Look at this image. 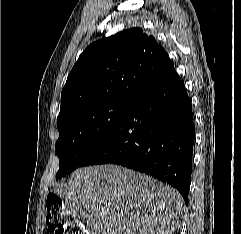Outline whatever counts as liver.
Instances as JSON below:
<instances>
[{"instance_id":"liver-1","label":"liver","mask_w":241,"mask_h":234,"mask_svg":"<svg viewBox=\"0 0 241 234\" xmlns=\"http://www.w3.org/2000/svg\"><path fill=\"white\" fill-rule=\"evenodd\" d=\"M55 193L87 224L90 234H172L180 227V193L117 165L77 169Z\"/></svg>"}]
</instances>
